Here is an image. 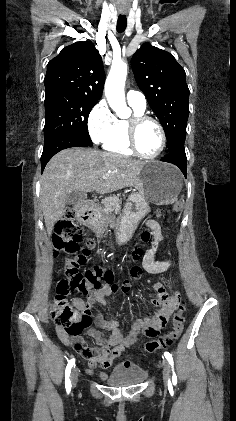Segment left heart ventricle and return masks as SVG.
<instances>
[{"label":"left heart ventricle","instance_id":"obj_1","mask_svg":"<svg viewBox=\"0 0 236 421\" xmlns=\"http://www.w3.org/2000/svg\"><path fill=\"white\" fill-rule=\"evenodd\" d=\"M136 143L141 153L155 154L160 146V134L157 127L149 121L140 123L136 128Z\"/></svg>","mask_w":236,"mask_h":421}]
</instances>
